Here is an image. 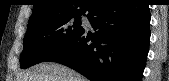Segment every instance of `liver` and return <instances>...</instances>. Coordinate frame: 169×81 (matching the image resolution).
Returning a JSON list of instances; mask_svg holds the SVG:
<instances>
[{
    "label": "liver",
    "instance_id": "1",
    "mask_svg": "<svg viewBox=\"0 0 169 81\" xmlns=\"http://www.w3.org/2000/svg\"><path fill=\"white\" fill-rule=\"evenodd\" d=\"M19 81H87L76 71L54 62H43L23 72Z\"/></svg>",
    "mask_w": 169,
    "mask_h": 81
}]
</instances>
